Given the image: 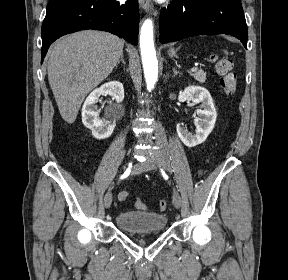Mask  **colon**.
<instances>
[{
    "label": "colon",
    "mask_w": 288,
    "mask_h": 280,
    "mask_svg": "<svg viewBox=\"0 0 288 280\" xmlns=\"http://www.w3.org/2000/svg\"><path fill=\"white\" fill-rule=\"evenodd\" d=\"M210 62L214 65L216 72L221 75V86L226 94H233L236 89L237 79L232 72V63L230 60L219 57L215 54L210 56ZM129 197L127 192H121L118 196L119 201H125ZM135 206L138 209L145 210L147 207L140 199H136ZM158 209L164 211L166 209V201L160 200L158 202Z\"/></svg>",
    "instance_id": "colon-1"
}]
</instances>
